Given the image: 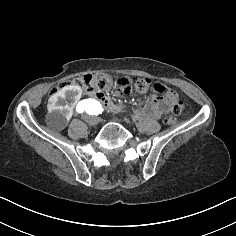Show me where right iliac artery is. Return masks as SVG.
Returning a JSON list of instances; mask_svg holds the SVG:
<instances>
[{"mask_svg":"<svg viewBox=\"0 0 236 236\" xmlns=\"http://www.w3.org/2000/svg\"><path fill=\"white\" fill-rule=\"evenodd\" d=\"M76 111L78 113H82L84 111V103L82 101H80L78 104H77V107H76Z\"/></svg>","mask_w":236,"mask_h":236,"instance_id":"1","label":"right iliac artery"}]
</instances>
